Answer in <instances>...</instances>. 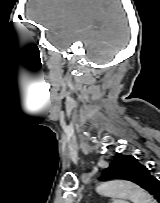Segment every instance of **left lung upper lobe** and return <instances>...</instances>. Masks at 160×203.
<instances>
[{"mask_svg":"<svg viewBox=\"0 0 160 203\" xmlns=\"http://www.w3.org/2000/svg\"><path fill=\"white\" fill-rule=\"evenodd\" d=\"M100 179L128 180L149 191L156 177L151 174L146 166L140 164L134 156L117 153L110 166L104 170Z\"/></svg>","mask_w":160,"mask_h":203,"instance_id":"obj_1","label":"left lung upper lobe"}]
</instances>
